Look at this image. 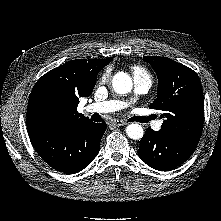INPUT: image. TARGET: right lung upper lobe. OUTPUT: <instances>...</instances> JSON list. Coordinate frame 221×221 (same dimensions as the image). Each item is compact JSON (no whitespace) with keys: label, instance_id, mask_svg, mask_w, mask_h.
Returning <instances> with one entry per match:
<instances>
[{"label":"right lung upper lobe","instance_id":"right-lung-upper-lobe-1","mask_svg":"<svg viewBox=\"0 0 221 221\" xmlns=\"http://www.w3.org/2000/svg\"><path fill=\"white\" fill-rule=\"evenodd\" d=\"M112 59L72 60L44 74L30 94L28 129L53 130L89 120L77 111L79 98L91 95L98 73Z\"/></svg>","mask_w":221,"mask_h":221}]
</instances>
